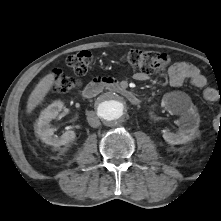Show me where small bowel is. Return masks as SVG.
<instances>
[{
    "mask_svg": "<svg viewBox=\"0 0 221 221\" xmlns=\"http://www.w3.org/2000/svg\"><path fill=\"white\" fill-rule=\"evenodd\" d=\"M168 76L171 86L178 87L185 80H189L195 87L204 89L203 96L207 101L216 102L221 97L217 90L207 86V80L199 68L189 62L178 61L173 63L169 67ZM134 78L138 81H145L148 76L143 73H136Z\"/></svg>",
    "mask_w": 221,
    "mask_h": 221,
    "instance_id": "1",
    "label": "small bowel"
}]
</instances>
